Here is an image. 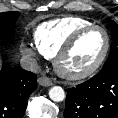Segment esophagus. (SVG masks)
<instances>
[{"mask_svg":"<svg viewBox=\"0 0 118 118\" xmlns=\"http://www.w3.org/2000/svg\"><path fill=\"white\" fill-rule=\"evenodd\" d=\"M38 83L41 85V86H45V87H48V86H51L53 85L52 81L46 77V76H42L38 79Z\"/></svg>","mask_w":118,"mask_h":118,"instance_id":"1","label":"esophagus"}]
</instances>
